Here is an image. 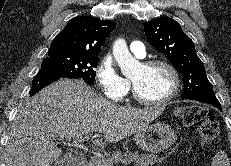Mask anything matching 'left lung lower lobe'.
<instances>
[{
	"label": "left lung lower lobe",
	"mask_w": 231,
	"mask_h": 166,
	"mask_svg": "<svg viewBox=\"0 0 231 166\" xmlns=\"http://www.w3.org/2000/svg\"><path fill=\"white\" fill-rule=\"evenodd\" d=\"M190 100H196V101H201V102H207L215 107H217L219 110L222 111L221 104L219 103L218 99L216 96H209V97H193V98H188Z\"/></svg>",
	"instance_id": "left-lung-lower-lobe-1"
}]
</instances>
